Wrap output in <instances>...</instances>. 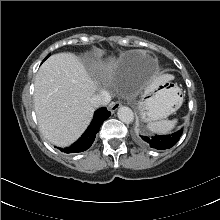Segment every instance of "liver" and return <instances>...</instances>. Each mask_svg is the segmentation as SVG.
<instances>
[{"label": "liver", "mask_w": 220, "mask_h": 220, "mask_svg": "<svg viewBox=\"0 0 220 220\" xmlns=\"http://www.w3.org/2000/svg\"><path fill=\"white\" fill-rule=\"evenodd\" d=\"M110 60L113 63L115 58ZM171 79L170 76L160 77L151 90ZM34 86V107L40 131L56 146L72 144L93 116L96 82L75 55L58 53L42 64Z\"/></svg>", "instance_id": "6515ba94"}]
</instances>
